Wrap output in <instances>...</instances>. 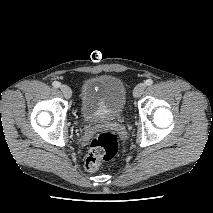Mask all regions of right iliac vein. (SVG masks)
Wrapping results in <instances>:
<instances>
[{
    "mask_svg": "<svg viewBox=\"0 0 213 213\" xmlns=\"http://www.w3.org/2000/svg\"><path fill=\"white\" fill-rule=\"evenodd\" d=\"M61 92L63 93L64 97L69 99L72 96V90L67 85H61L60 86Z\"/></svg>",
    "mask_w": 213,
    "mask_h": 213,
    "instance_id": "obj_1",
    "label": "right iliac vein"
}]
</instances>
